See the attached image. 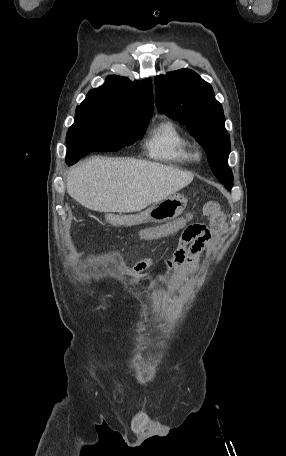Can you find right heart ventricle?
I'll list each match as a JSON object with an SVG mask.
<instances>
[{
	"mask_svg": "<svg viewBox=\"0 0 286 456\" xmlns=\"http://www.w3.org/2000/svg\"><path fill=\"white\" fill-rule=\"evenodd\" d=\"M146 149L150 157L164 162L184 164L192 159L191 141L173 121L151 131Z\"/></svg>",
	"mask_w": 286,
	"mask_h": 456,
	"instance_id": "right-heart-ventricle-1",
	"label": "right heart ventricle"
}]
</instances>
